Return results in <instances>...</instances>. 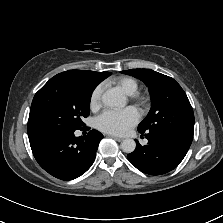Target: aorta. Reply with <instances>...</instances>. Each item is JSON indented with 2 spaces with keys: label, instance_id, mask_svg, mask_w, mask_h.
<instances>
[{
  "label": "aorta",
  "instance_id": "obj_1",
  "mask_svg": "<svg viewBox=\"0 0 223 223\" xmlns=\"http://www.w3.org/2000/svg\"><path fill=\"white\" fill-rule=\"evenodd\" d=\"M102 103L109 107H124L126 98L117 89H108L101 96ZM121 148L125 153H132L136 148L133 139H124L121 142Z\"/></svg>",
  "mask_w": 223,
  "mask_h": 223
}]
</instances>
